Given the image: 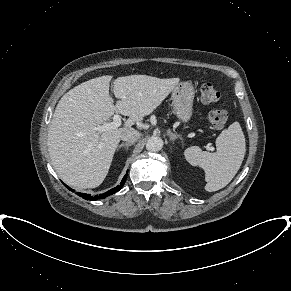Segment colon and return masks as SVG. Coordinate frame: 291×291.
<instances>
[{
    "mask_svg": "<svg viewBox=\"0 0 291 291\" xmlns=\"http://www.w3.org/2000/svg\"><path fill=\"white\" fill-rule=\"evenodd\" d=\"M201 100L205 104L216 103L220 100V93L210 83H204L200 87ZM209 122L216 128H222L227 120L228 115L225 110L215 109L209 113Z\"/></svg>",
    "mask_w": 291,
    "mask_h": 291,
    "instance_id": "1",
    "label": "colon"
}]
</instances>
